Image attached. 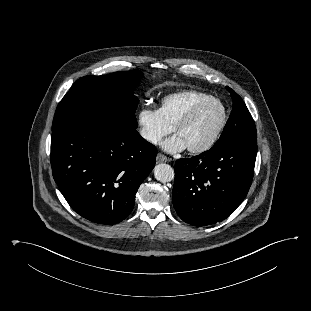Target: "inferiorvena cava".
Masks as SVG:
<instances>
[{
  "label": "inferior vena cava",
  "instance_id": "1",
  "mask_svg": "<svg viewBox=\"0 0 311 311\" xmlns=\"http://www.w3.org/2000/svg\"><path fill=\"white\" fill-rule=\"evenodd\" d=\"M140 134L144 139H146L152 143H156L157 141H159L158 136H156L155 134H153L152 132H150L149 130H147L145 128L141 129Z\"/></svg>",
  "mask_w": 311,
  "mask_h": 311
}]
</instances>
